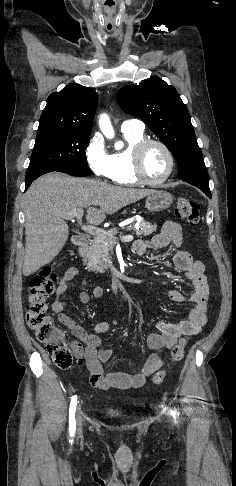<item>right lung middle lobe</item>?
<instances>
[{
    "instance_id": "dd1d6c3e",
    "label": "right lung middle lobe",
    "mask_w": 236,
    "mask_h": 486,
    "mask_svg": "<svg viewBox=\"0 0 236 486\" xmlns=\"http://www.w3.org/2000/svg\"><path fill=\"white\" fill-rule=\"evenodd\" d=\"M90 133L44 129L37 131L27 172L57 169L90 174L85 150Z\"/></svg>"
}]
</instances>
